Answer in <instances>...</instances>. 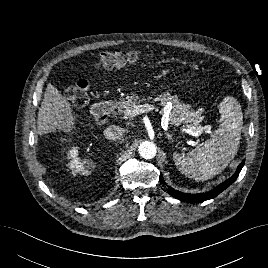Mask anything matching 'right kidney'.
Wrapping results in <instances>:
<instances>
[{
	"mask_svg": "<svg viewBox=\"0 0 268 268\" xmlns=\"http://www.w3.org/2000/svg\"><path fill=\"white\" fill-rule=\"evenodd\" d=\"M78 147H71L67 153V159L70 160L68 167L72 170V174L75 176L78 173L81 175H90L95 169V163L91 160H81L79 157Z\"/></svg>",
	"mask_w": 268,
	"mask_h": 268,
	"instance_id": "ca27d5eb",
	"label": "right kidney"
}]
</instances>
